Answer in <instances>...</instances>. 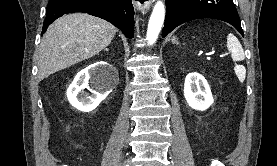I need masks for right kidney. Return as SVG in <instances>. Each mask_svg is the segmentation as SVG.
<instances>
[{"mask_svg": "<svg viewBox=\"0 0 277 166\" xmlns=\"http://www.w3.org/2000/svg\"><path fill=\"white\" fill-rule=\"evenodd\" d=\"M108 69V63L98 62V64L81 70L67 89V97L70 104L83 112L94 110L116 85L117 81L114 75L109 76L106 73L100 74V72H106ZM94 76H98L99 87H97V91L92 92L93 94L91 96H87L85 95L84 89L88 88L89 79Z\"/></svg>", "mask_w": 277, "mask_h": 166, "instance_id": "ca27d5eb", "label": "right kidney"}]
</instances>
